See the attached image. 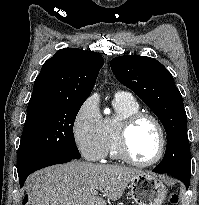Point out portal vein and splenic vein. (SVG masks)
Listing matches in <instances>:
<instances>
[{"label": "portal vein and splenic vein", "instance_id": "18ae733b", "mask_svg": "<svg viewBox=\"0 0 199 205\" xmlns=\"http://www.w3.org/2000/svg\"><path fill=\"white\" fill-rule=\"evenodd\" d=\"M93 194H94V195H97V194H98V192H97V191H95Z\"/></svg>", "mask_w": 199, "mask_h": 205}]
</instances>
